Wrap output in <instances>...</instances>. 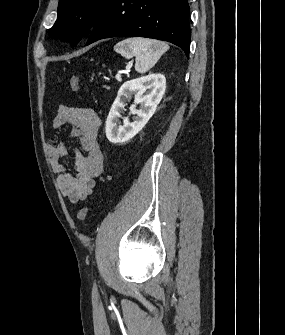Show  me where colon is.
<instances>
[{"instance_id": "colon-1", "label": "colon", "mask_w": 285, "mask_h": 335, "mask_svg": "<svg viewBox=\"0 0 285 335\" xmlns=\"http://www.w3.org/2000/svg\"><path fill=\"white\" fill-rule=\"evenodd\" d=\"M70 86L71 89L75 92H78L80 90V82L76 75H72L70 78ZM89 213L88 207L81 208L77 213V218L80 222H85L87 216Z\"/></svg>"}]
</instances>
